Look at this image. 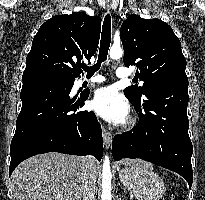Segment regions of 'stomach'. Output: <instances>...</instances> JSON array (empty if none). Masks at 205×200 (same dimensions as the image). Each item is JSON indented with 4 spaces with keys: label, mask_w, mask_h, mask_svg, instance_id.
<instances>
[{
    "label": "stomach",
    "mask_w": 205,
    "mask_h": 200,
    "mask_svg": "<svg viewBox=\"0 0 205 200\" xmlns=\"http://www.w3.org/2000/svg\"><path fill=\"white\" fill-rule=\"evenodd\" d=\"M121 183L137 200H160L165 185L157 173L144 163H135L119 171Z\"/></svg>",
    "instance_id": "1"
}]
</instances>
